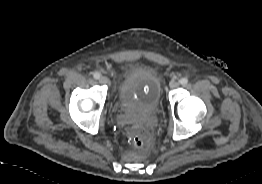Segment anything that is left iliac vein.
Wrapping results in <instances>:
<instances>
[{
	"label": "left iliac vein",
	"mask_w": 262,
	"mask_h": 184,
	"mask_svg": "<svg viewBox=\"0 0 262 184\" xmlns=\"http://www.w3.org/2000/svg\"><path fill=\"white\" fill-rule=\"evenodd\" d=\"M178 86H179V82L176 81V80L171 81L170 84H169V87L171 89H176Z\"/></svg>",
	"instance_id": "4c4485c4"
}]
</instances>
